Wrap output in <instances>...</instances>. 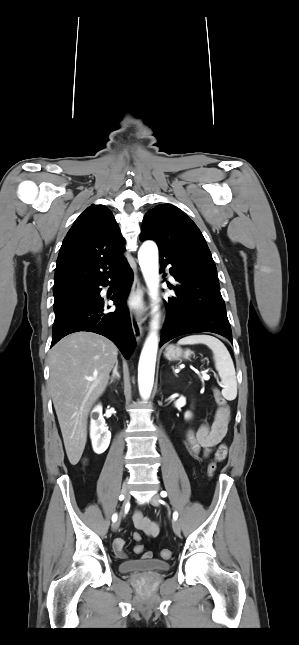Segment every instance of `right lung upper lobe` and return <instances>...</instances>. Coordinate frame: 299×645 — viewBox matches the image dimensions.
Segmentation results:
<instances>
[{
  "instance_id": "obj_1",
  "label": "right lung upper lobe",
  "mask_w": 299,
  "mask_h": 645,
  "mask_svg": "<svg viewBox=\"0 0 299 645\" xmlns=\"http://www.w3.org/2000/svg\"><path fill=\"white\" fill-rule=\"evenodd\" d=\"M125 239L111 211L91 205L74 222L63 240L53 291L92 284L115 272L126 260Z\"/></svg>"
}]
</instances>
